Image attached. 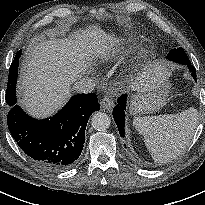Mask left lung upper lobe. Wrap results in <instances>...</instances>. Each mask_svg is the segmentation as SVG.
I'll return each mask as SVG.
<instances>
[{
	"label": "left lung upper lobe",
	"instance_id": "5c2ea615",
	"mask_svg": "<svg viewBox=\"0 0 205 205\" xmlns=\"http://www.w3.org/2000/svg\"><path fill=\"white\" fill-rule=\"evenodd\" d=\"M167 59L184 65L190 63L188 56L181 47L170 50Z\"/></svg>",
	"mask_w": 205,
	"mask_h": 205
}]
</instances>
